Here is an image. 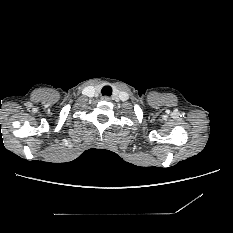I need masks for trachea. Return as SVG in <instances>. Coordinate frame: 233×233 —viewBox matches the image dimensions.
I'll return each mask as SVG.
<instances>
[{
  "instance_id": "trachea-1",
  "label": "trachea",
  "mask_w": 233,
  "mask_h": 233,
  "mask_svg": "<svg viewBox=\"0 0 233 233\" xmlns=\"http://www.w3.org/2000/svg\"><path fill=\"white\" fill-rule=\"evenodd\" d=\"M102 95L111 96L112 88L110 86H104L101 91Z\"/></svg>"
}]
</instances>
